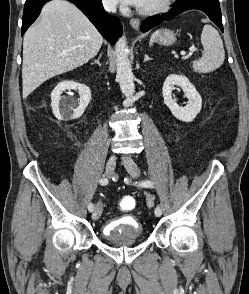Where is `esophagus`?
<instances>
[{"label":"esophagus","instance_id":"esophagus-1","mask_svg":"<svg viewBox=\"0 0 249 294\" xmlns=\"http://www.w3.org/2000/svg\"><path fill=\"white\" fill-rule=\"evenodd\" d=\"M130 25L133 29L138 30L140 26V20L138 18H132L130 20Z\"/></svg>","mask_w":249,"mask_h":294}]
</instances>
